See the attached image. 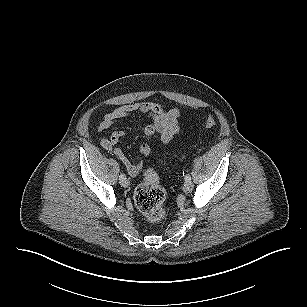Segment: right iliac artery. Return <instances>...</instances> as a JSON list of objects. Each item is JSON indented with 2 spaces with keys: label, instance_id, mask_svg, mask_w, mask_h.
<instances>
[{
  "label": "right iliac artery",
  "instance_id": "1",
  "mask_svg": "<svg viewBox=\"0 0 307 307\" xmlns=\"http://www.w3.org/2000/svg\"><path fill=\"white\" fill-rule=\"evenodd\" d=\"M124 178H126V177H125V174H121V175L119 176V180H122V179H124Z\"/></svg>",
  "mask_w": 307,
  "mask_h": 307
}]
</instances>
